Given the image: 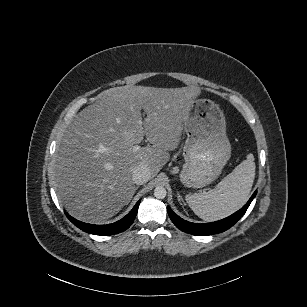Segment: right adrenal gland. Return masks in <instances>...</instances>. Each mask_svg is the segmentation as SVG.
<instances>
[{"label":"right adrenal gland","mask_w":307,"mask_h":307,"mask_svg":"<svg viewBox=\"0 0 307 307\" xmlns=\"http://www.w3.org/2000/svg\"><path fill=\"white\" fill-rule=\"evenodd\" d=\"M137 189H138V186L134 188V192H133V194L131 195L130 201H131V199L133 198V195L135 194V192H136Z\"/></svg>","instance_id":"obj_1"}]
</instances>
